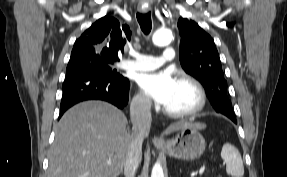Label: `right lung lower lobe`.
I'll return each instance as SVG.
<instances>
[{
	"instance_id": "obj_1",
	"label": "right lung lower lobe",
	"mask_w": 287,
	"mask_h": 177,
	"mask_svg": "<svg viewBox=\"0 0 287 177\" xmlns=\"http://www.w3.org/2000/svg\"><path fill=\"white\" fill-rule=\"evenodd\" d=\"M129 87V80L122 75L112 78L94 71L66 74L59 117L71 106L86 100H103L122 109L128 103Z\"/></svg>"
}]
</instances>
